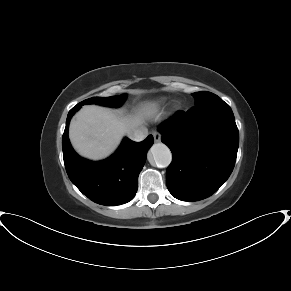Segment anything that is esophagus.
<instances>
[{"mask_svg":"<svg viewBox=\"0 0 291 291\" xmlns=\"http://www.w3.org/2000/svg\"><path fill=\"white\" fill-rule=\"evenodd\" d=\"M152 135H153V138H154V141H155V142H157V143L160 142V140H161V136H160L159 133H157V132L154 131V132L152 133Z\"/></svg>","mask_w":291,"mask_h":291,"instance_id":"obj_1","label":"esophagus"}]
</instances>
